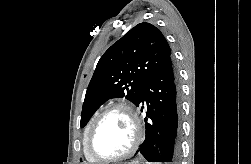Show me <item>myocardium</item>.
<instances>
[{"label": "myocardium", "instance_id": "f54148a6", "mask_svg": "<svg viewBox=\"0 0 251 164\" xmlns=\"http://www.w3.org/2000/svg\"><path fill=\"white\" fill-rule=\"evenodd\" d=\"M115 110L125 111L127 115L129 116V118L131 119L133 127H134V139L132 141L131 146L124 153L117 156L108 157V158L99 157L95 155L92 151V141H93L94 135L96 133L98 126L103 120V118L107 114ZM143 136H144L143 124L136 110L130 104L126 102H117L106 107L102 112H100L97 115V117L93 121L91 128L88 132L87 139H86V145H85L86 152L90 156V158H92L96 162L105 163V162L119 161V160H122L131 156L138 149V147L140 146L143 140Z\"/></svg>", "mask_w": 251, "mask_h": 164}]
</instances>
